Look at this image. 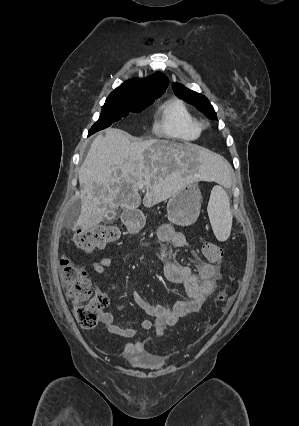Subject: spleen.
<instances>
[{
	"mask_svg": "<svg viewBox=\"0 0 299 426\" xmlns=\"http://www.w3.org/2000/svg\"><path fill=\"white\" fill-rule=\"evenodd\" d=\"M207 211L216 238L226 241L231 233L233 215L229 197L221 185L212 189Z\"/></svg>",
	"mask_w": 299,
	"mask_h": 426,
	"instance_id": "3e777b00",
	"label": "spleen"
}]
</instances>
